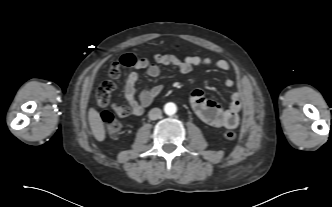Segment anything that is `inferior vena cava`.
<instances>
[{
  "label": "inferior vena cava",
  "instance_id": "602c4592",
  "mask_svg": "<svg viewBox=\"0 0 332 207\" xmlns=\"http://www.w3.org/2000/svg\"><path fill=\"white\" fill-rule=\"evenodd\" d=\"M148 116L151 120H156V119L161 118L162 112L159 108H153L149 111Z\"/></svg>",
  "mask_w": 332,
  "mask_h": 207
}]
</instances>
